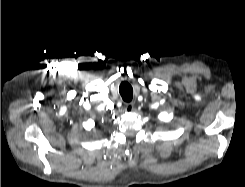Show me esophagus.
Masks as SVG:
<instances>
[{
    "mask_svg": "<svg viewBox=\"0 0 245 187\" xmlns=\"http://www.w3.org/2000/svg\"><path fill=\"white\" fill-rule=\"evenodd\" d=\"M133 109H134V104H133V103H126V104H125V110H126L127 112H132Z\"/></svg>",
    "mask_w": 245,
    "mask_h": 187,
    "instance_id": "34e87169",
    "label": "esophagus"
}]
</instances>
